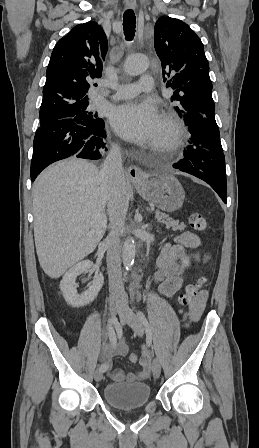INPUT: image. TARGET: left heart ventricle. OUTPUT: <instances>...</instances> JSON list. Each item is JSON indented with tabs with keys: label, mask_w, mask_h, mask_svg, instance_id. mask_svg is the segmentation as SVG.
Wrapping results in <instances>:
<instances>
[{
	"label": "left heart ventricle",
	"mask_w": 259,
	"mask_h": 448,
	"mask_svg": "<svg viewBox=\"0 0 259 448\" xmlns=\"http://www.w3.org/2000/svg\"><path fill=\"white\" fill-rule=\"evenodd\" d=\"M166 136H167L166 127L163 124H161V127H160L159 131L153 137V144H154V146L157 147L160 144H162L164 142V140L166 139Z\"/></svg>",
	"instance_id": "left-heart-ventricle-1"
}]
</instances>
